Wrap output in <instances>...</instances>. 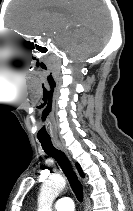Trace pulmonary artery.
Wrapping results in <instances>:
<instances>
[{"mask_svg":"<svg viewBox=\"0 0 133 211\" xmlns=\"http://www.w3.org/2000/svg\"><path fill=\"white\" fill-rule=\"evenodd\" d=\"M54 211H74V203L69 197L59 198L53 205Z\"/></svg>","mask_w":133,"mask_h":211,"instance_id":"pulmonary-artery-1","label":"pulmonary artery"}]
</instances>
